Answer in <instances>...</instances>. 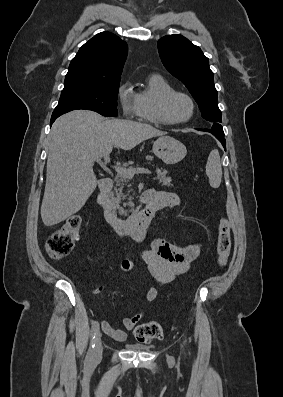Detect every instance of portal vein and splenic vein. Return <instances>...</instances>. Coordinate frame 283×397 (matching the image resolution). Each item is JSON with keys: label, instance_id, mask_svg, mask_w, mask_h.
<instances>
[{"label": "portal vein and splenic vein", "instance_id": "18ae733b", "mask_svg": "<svg viewBox=\"0 0 283 397\" xmlns=\"http://www.w3.org/2000/svg\"><path fill=\"white\" fill-rule=\"evenodd\" d=\"M96 162H101V158H96ZM110 164V156L109 154H106L104 156V165ZM115 171L117 172L118 175H121L123 177H126L128 179H131L134 177L135 174H151V171L146 169V168H124L120 166H115L114 167Z\"/></svg>", "mask_w": 283, "mask_h": 397}]
</instances>
